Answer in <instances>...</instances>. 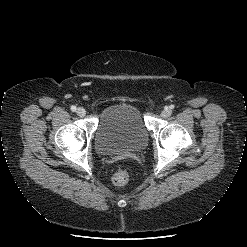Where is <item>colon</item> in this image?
I'll return each instance as SVG.
<instances>
[{
    "mask_svg": "<svg viewBox=\"0 0 247 247\" xmlns=\"http://www.w3.org/2000/svg\"><path fill=\"white\" fill-rule=\"evenodd\" d=\"M129 180V173L126 169L120 168L115 171L112 181L116 186H124Z\"/></svg>",
    "mask_w": 247,
    "mask_h": 247,
    "instance_id": "5ec220e1",
    "label": "colon"
}]
</instances>
